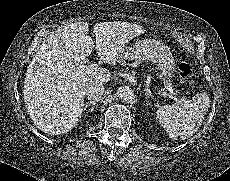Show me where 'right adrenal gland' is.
<instances>
[{
  "instance_id": "right-adrenal-gland-1",
  "label": "right adrenal gland",
  "mask_w": 230,
  "mask_h": 181,
  "mask_svg": "<svg viewBox=\"0 0 230 181\" xmlns=\"http://www.w3.org/2000/svg\"><path fill=\"white\" fill-rule=\"evenodd\" d=\"M97 102H98V101H90V102H87V103L85 104L84 111H87V109L89 108V106H91L90 111L93 112V111H94V108H95V106H96V104H97Z\"/></svg>"
}]
</instances>
